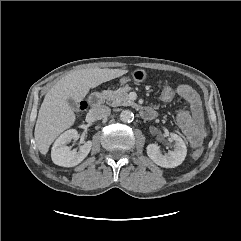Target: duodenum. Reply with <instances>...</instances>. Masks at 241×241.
Masks as SVG:
<instances>
[{"mask_svg":"<svg viewBox=\"0 0 241 241\" xmlns=\"http://www.w3.org/2000/svg\"><path fill=\"white\" fill-rule=\"evenodd\" d=\"M105 99V96L103 93L97 92L91 95L90 97V104L92 107H99L103 104ZM142 115L143 117H145L146 119H152L155 117V111L153 109L150 108H144L142 110Z\"/></svg>","mask_w":241,"mask_h":241,"instance_id":"obj_1","label":"duodenum"}]
</instances>
